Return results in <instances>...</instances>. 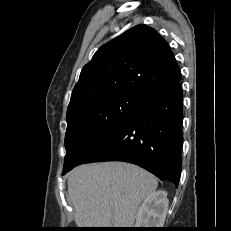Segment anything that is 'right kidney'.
I'll use <instances>...</instances> for the list:
<instances>
[{"label":"right kidney","mask_w":231,"mask_h":231,"mask_svg":"<svg viewBox=\"0 0 231 231\" xmlns=\"http://www.w3.org/2000/svg\"><path fill=\"white\" fill-rule=\"evenodd\" d=\"M168 204L166 191L158 190L148 195L138 209L136 228H162Z\"/></svg>","instance_id":"1"}]
</instances>
